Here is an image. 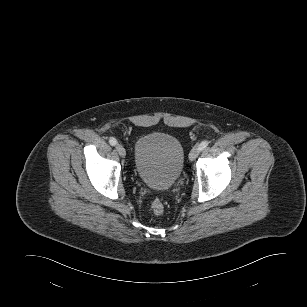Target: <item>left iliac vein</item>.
Listing matches in <instances>:
<instances>
[{"mask_svg": "<svg viewBox=\"0 0 307 307\" xmlns=\"http://www.w3.org/2000/svg\"><path fill=\"white\" fill-rule=\"evenodd\" d=\"M199 153H200L199 147H197V146L193 147L192 150L189 153V160L190 161L195 160L198 157Z\"/></svg>", "mask_w": 307, "mask_h": 307, "instance_id": "4c4485c4", "label": "left iliac vein"}]
</instances>
